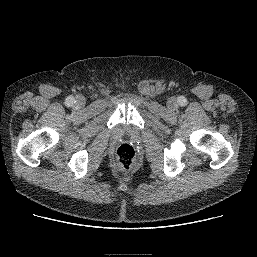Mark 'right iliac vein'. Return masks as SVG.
Instances as JSON below:
<instances>
[{
    "mask_svg": "<svg viewBox=\"0 0 257 257\" xmlns=\"http://www.w3.org/2000/svg\"><path fill=\"white\" fill-rule=\"evenodd\" d=\"M85 105V98L81 95L77 96L76 97V100H75V106L77 108H81Z\"/></svg>",
    "mask_w": 257,
    "mask_h": 257,
    "instance_id": "63e3f726",
    "label": "right iliac vein"
}]
</instances>
